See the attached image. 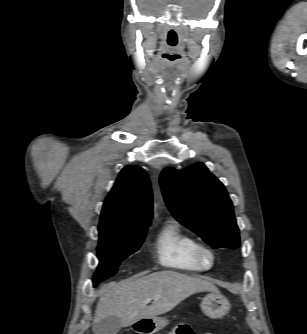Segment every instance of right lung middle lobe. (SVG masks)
I'll return each mask as SVG.
<instances>
[{
	"label": "right lung middle lobe",
	"mask_w": 307,
	"mask_h": 334,
	"mask_svg": "<svg viewBox=\"0 0 307 334\" xmlns=\"http://www.w3.org/2000/svg\"><path fill=\"white\" fill-rule=\"evenodd\" d=\"M147 227L99 232L97 257L99 266L93 277L94 287L113 276L120 263L136 252L146 236Z\"/></svg>",
	"instance_id": "obj_1"
}]
</instances>
